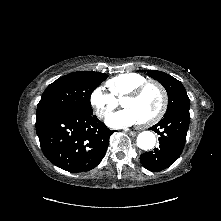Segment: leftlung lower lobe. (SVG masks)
<instances>
[{
  "instance_id": "0a47b994",
  "label": "left lung lower lobe",
  "mask_w": 221,
  "mask_h": 221,
  "mask_svg": "<svg viewBox=\"0 0 221 221\" xmlns=\"http://www.w3.org/2000/svg\"><path fill=\"white\" fill-rule=\"evenodd\" d=\"M189 122V109L166 113L159 123L150 128L160 135V145L153 151L141 154L142 165L152 172H158L174 163L185 146Z\"/></svg>"
}]
</instances>
